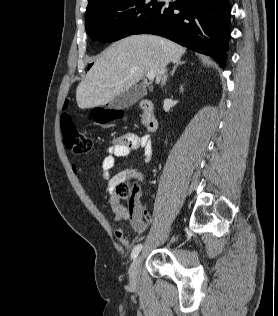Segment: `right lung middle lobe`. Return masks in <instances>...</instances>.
Wrapping results in <instances>:
<instances>
[{"instance_id":"dd1d6c3e","label":"right lung middle lobe","mask_w":278,"mask_h":316,"mask_svg":"<svg viewBox=\"0 0 278 316\" xmlns=\"http://www.w3.org/2000/svg\"><path fill=\"white\" fill-rule=\"evenodd\" d=\"M161 5L157 0H110L86 11V32L94 41H117L131 35Z\"/></svg>"}]
</instances>
